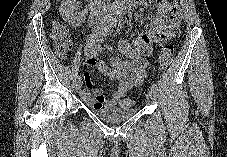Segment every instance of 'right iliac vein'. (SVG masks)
Here are the masks:
<instances>
[{"instance_id": "obj_1", "label": "right iliac vein", "mask_w": 227, "mask_h": 157, "mask_svg": "<svg viewBox=\"0 0 227 157\" xmlns=\"http://www.w3.org/2000/svg\"><path fill=\"white\" fill-rule=\"evenodd\" d=\"M74 88L77 92L80 91L81 89V82L80 81H77L75 84H74Z\"/></svg>"}]
</instances>
